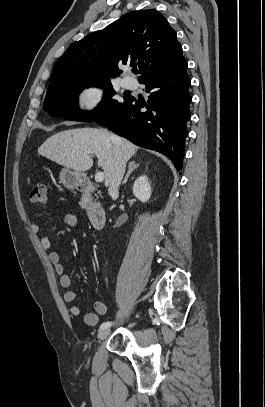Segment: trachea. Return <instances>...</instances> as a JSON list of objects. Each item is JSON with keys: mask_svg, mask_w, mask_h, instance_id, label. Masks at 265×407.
Returning a JSON list of instances; mask_svg holds the SVG:
<instances>
[{"mask_svg": "<svg viewBox=\"0 0 265 407\" xmlns=\"http://www.w3.org/2000/svg\"><path fill=\"white\" fill-rule=\"evenodd\" d=\"M133 73L137 74V73H138V71H137V70H133Z\"/></svg>", "mask_w": 265, "mask_h": 407, "instance_id": "1", "label": "trachea"}]
</instances>
